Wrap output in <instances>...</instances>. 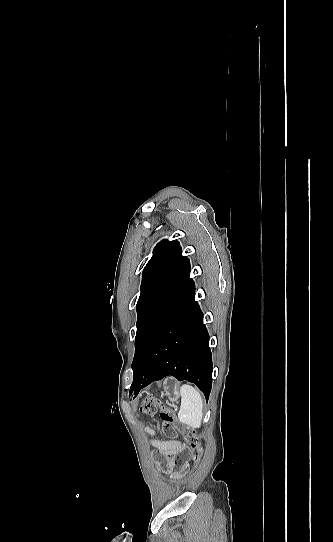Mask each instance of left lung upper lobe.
<instances>
[{
  "label": "left lung upper lobe",
  "instance_id": "obj_1",
  "mask_svg": "<svg viewBox=\"0 0 333 542\" xmlns=\"http://www.w3.org/2000/svg\"><path fill=\"white\" fill-rule=\"evenodd\" d=\"M189 274V259L182 256L178 241L163 240L157 244L143 270L136 306L138 318L133 375L140 370L155 335L193 290L194 282Z\"/></svg>",
  "mask_w": 333,
  "mask_h": 542
}]
</instances>
